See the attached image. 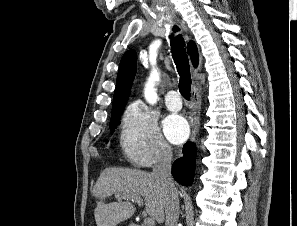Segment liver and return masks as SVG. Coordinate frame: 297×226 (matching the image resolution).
Instances as JSON below:
<instances>
[{"mask_svg":"<svg viewBox=\"0 0 297 226\" xmlns=\"http://www.w3.org/2000/svg\"><path fill=\"white\" fill-rule=\"evenodd\" d=\"M113 194L118 201L105 203V199ZM92 195L99 200L94 210L97 226H116L129 219L136 211L128 201L131 197H143L147 213L158 223L165 219L164 188L151 173L145 171L106 168L97 179Z\"/></svg>","mask_w":297,"mask_h":226,"instance_id":"obj_1","label":"liver"}]
</instances>
